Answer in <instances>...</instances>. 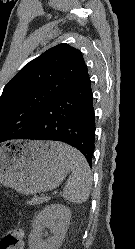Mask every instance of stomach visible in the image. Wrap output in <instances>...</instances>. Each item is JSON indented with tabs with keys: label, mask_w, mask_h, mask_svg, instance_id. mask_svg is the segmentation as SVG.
<instances>
[{
	"label": "stomach",
	"mask_w": 135,
	"mask_h": 249,
	"mask_svg": "<svg viewBox=\"0 0 135 249\" xmlns=\"http://www.w3.org/2000/svg\"><path fill=\"white\" fill-rule=\"evenodd\" d=\"M52 142L13 141L0 147V183L25 195L59 186L71 170Z\"/></svg>",
	"instance_id": "1"
}]
</instances>
